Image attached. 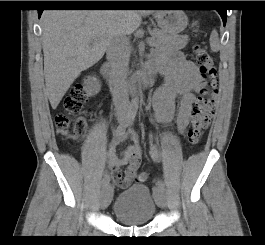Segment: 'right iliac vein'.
Wrapping results in <instances>:
<instances>
[{"instance_id": "right-iliac-vein-1", "label": "right iliac vein", "mask_w": 265, "mask_h": 245, "mask_svg": "<svg viewBox=\"0 0 265 245\" xmlns=\"http://www.w3.org/2000/svg\"><path fill=\"white\" fill-rule=\"evenodd\" d=\"M119 122H122L124 120V117L118 118ZM113 197V187L111 185H107L102 190L101 195V208L104 209L108 207Z\"/></svg>"}]
</instances>
